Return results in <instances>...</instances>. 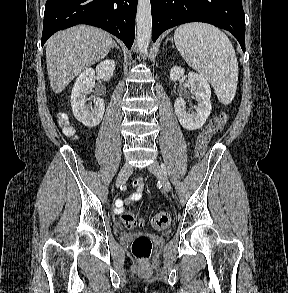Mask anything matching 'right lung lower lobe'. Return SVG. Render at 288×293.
Here are the masks:
<instances>
[{
  "mask_svg": "<svg viewBox=\"0 0 288 293\" xmlns=\"http://www.w3.org/2000/svg\"><path fill=\"white\" fill-rule=\"evenodd\" d=\"M137 1L47 0L42 46L58 30L77 24H88L112 33L130 49L134 41Z\"/></svg>",
  "mask_w": 288,
  "mask_h": 293,
  "instance_id": "98d812e1",
  "label": "right lung lower lobe"
}]
</instances>
